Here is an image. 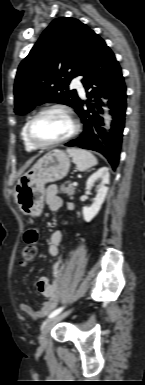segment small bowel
<instances>
[{
    "label": "small bowel",
    "mask_w": 145,
    "mask_h": 385,
    "mask_svg": "<svg viewBox=\"0 0 145 385\" xmlns=\"http://www.w3.org/2000/svg\"><path fill=\"white\" fill-rule=\"evenodd\" d=\"M45 202L48 205L49 209L52 211H57L61 208L63 201L57 195V187L51 185L48 187L45 194ZM72 209L73 207L70 206ZM63 234L60 230H55L50 236L49 242V252L53 256H57L61 250ZM57 263H62L58 261ZM63 265V263H62ZM55 266V265H54ZM62 274L63 269L60 274L54 272L53 267V280L52 282L45 276L41 277L37 282V290L41 293L47 300L43 303L40 309H36L27 303H21L20 309L28 314L33 319H42L46 317L57 305L60 293L62 291Z\"/></svg>",
    "instance_id": "1"
}]
</instances>
